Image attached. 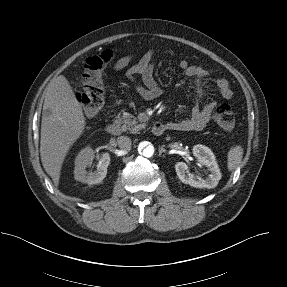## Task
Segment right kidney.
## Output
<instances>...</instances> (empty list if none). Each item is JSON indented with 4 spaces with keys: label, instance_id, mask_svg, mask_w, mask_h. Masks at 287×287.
I'll use <instances>...</instances> for the list:
<instances>
[{
    "label": "right kidney",
    "instance_id": "right-kidney-1",
    "mask_svg": "<svg viewBox=\"0 0 287 287\" xmlns=\"http://www.w3.org/2000/svg\"><path fill=\"white\" fill-rule=\"evenodd\" d=\"M94 157V151L90 147H86L78 153L74 168V178L77 181L91 185L101 183L106 177L107 168L110 164L109 153H103L101 155L96 171L87 172L86 167L91 163Z\"/></svg>",
    "mask_w": 287,
    "mask_h": 287
}]
</instances>
